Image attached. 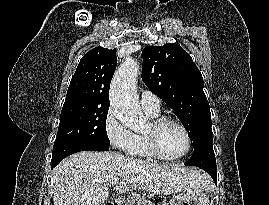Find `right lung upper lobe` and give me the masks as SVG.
I'll use <instances>...</instances> for the list:
<instances>
[{
	"label": "right lung upper lobe",
	"mask_w": 269,
	"mask_h": 205,
	"mask_svg": "<svg viewBox=\"0 0 269 205\" xmlns=\"http://www.w3.org/2000/svg\"><path fill=\"white\" fill-rule=\"evenodd\" d=\"M116 66V50L96 47L86 53L71 79L63 107H109L110 82Z\"/></svg>",
	"instance_id": "obj_1"
}]
</instances>
